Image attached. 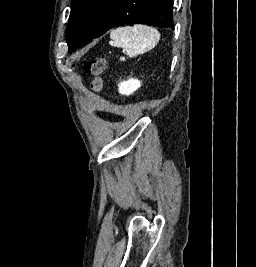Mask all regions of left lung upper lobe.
Here are the masks:
<instances>
[{"mask_svg": "<svg viewBox=\"0 0 256 267\" xmlns=\"http://www.w3.org/2000/svg\"><path fill=\"white\" fill-rule=\"evenodd\" d=\"M172 8L173 0H73L66 36L69 52L120 25L174 29Z\"/></svg>", "mask_w": 256, "mask_h": 267, "instance_id": "5c2ea615", "label": "left lung upper lobe"}]
</instances>
